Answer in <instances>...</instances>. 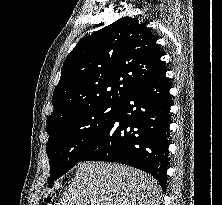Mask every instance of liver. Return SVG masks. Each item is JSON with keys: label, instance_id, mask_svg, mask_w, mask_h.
<instances>
[{"label": "liver", "instance_id": "obj_1", "mask_svg": "<svg viewBox=\"0 0 222 205\" xmlns=\"http://www.w3.org/2000/svg\"><path fill=\"white\" fill-rule=\"evenodd\" d=\"M161 187L141 170L107 162H80L58 205H160Z\"/></svg>", "mask_w": 222, "mask_h": 205}]
</instances>
